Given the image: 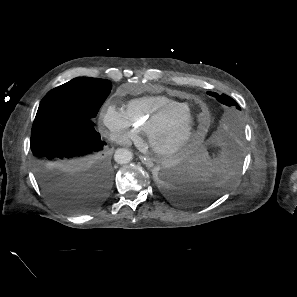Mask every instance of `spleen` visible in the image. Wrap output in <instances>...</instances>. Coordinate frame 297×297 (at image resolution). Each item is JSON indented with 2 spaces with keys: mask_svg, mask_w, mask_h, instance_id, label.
Returning <instances> with one entry per match:
<instances>
[{
  "mask_svg": "<svg viewBox=\"0 0 297 297\" xmlns=\"http://www.w3.org/2000/svg\"><path fill=\"white\" fill-rule=\"evenodd\" d=\"M203 165H209L210 164V161H207V160H204L201 162Z\"/></svg>",
  "mask_w": 297,
  "mask_h": 297,
  "instance_id": "obj_1",
  "label": "spleen"
}]
</instances>
